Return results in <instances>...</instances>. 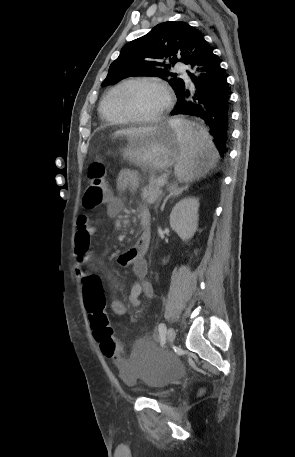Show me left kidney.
I'll return each mask as SVG.
<instances>
[{"label":"left kidney","mask_w":295,"mask_h":457,"mask_svg":"<svg viewBox=\"0 0 295 457\" xmlns=\"http://www.w3.org/2000/svg\"><path fill=\"white\" fill-rule=\"evenodd\" d=\"M199 200L187 197L179 201L170 214V226L178 236L187 241L193 237L198 227Z\"/></svg>","instance_id":"1"}]
</instances>
